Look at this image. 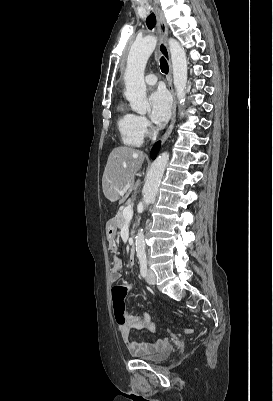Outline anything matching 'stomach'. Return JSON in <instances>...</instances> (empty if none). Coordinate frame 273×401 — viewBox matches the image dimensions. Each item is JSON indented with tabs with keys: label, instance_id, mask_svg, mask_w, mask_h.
I'll list each match as a JSON object with an SVG mask.
<instances>
[{
	"label": "stomach",
	"instance_id": "1",
	"mask_svg": "<svg viewBox=\"0 0 273 401\" xmlns=\"http://www.w3.org/2000/svg\"><path fill=\"white\" fill-rule=\"evenodd\" d=\"M117 227L114 219H110L108 223H106V237L108 241H112L116 235Z\"/></svg>",
	"mask_w": 273,
	"mask_h": 401
}]
</instances>
